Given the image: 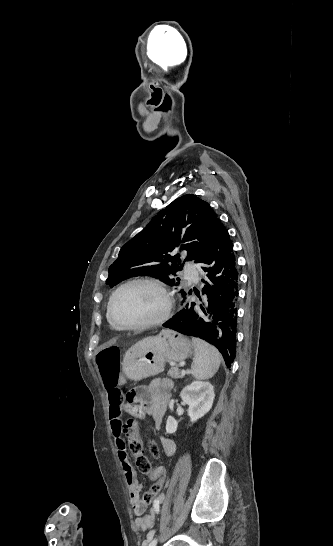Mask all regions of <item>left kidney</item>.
I'll list each match as a JSON object with an SVG mask.
<instances>
[{"mask_svg":"<svg viewBox=\"0 0 333 546\" xmlns=\"http://www.w3.org/2000/svg\"><path fill=\"white\" fill-rule=\"evenodd\" d=\"M182 401L189 406L188 415L192 422L197 421L210 411L214 401V389L209 382L194 381L180 393ZM178 423L169 416L166 423V432L175 433Z\"/></svg>","mask_w":333,"mask_h":546,"instance_id":"obj_1","label":"left kidney"}]
</instances>
